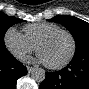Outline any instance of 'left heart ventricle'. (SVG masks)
<instances>
[{"label":"left heart ventricle","mask_w":89,"mask_h":89,"mask_svg":"<svg viewBox=\"0 0 89 89\" xmlns=\"http://www.w3.org/2000/svg\"><path fill=\"white\" fill-rule=\"evenodd\" d=\"M71 51V41L69 37L60 33L42 44L39 53L43 55L48 64H58L64 61Z\"/></svg>","instance_id":"b2bd125f"}]
</instances>
